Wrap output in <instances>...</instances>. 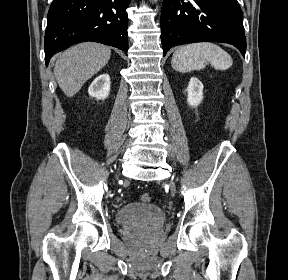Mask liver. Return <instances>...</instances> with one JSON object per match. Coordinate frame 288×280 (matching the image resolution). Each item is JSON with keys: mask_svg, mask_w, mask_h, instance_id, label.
<instances>
[{"mask_svg": "<svg viewBox=\"0 0 288 280\" xmlns=\"http://www.w3.org/2000/svg\"><path fill=\"white\" fill-rule=\"evenodd\" d=\"M110 56L111 49L99 43H81L65 50L54 67L59 87L72 97L108 63Z\"/></svg>", "mask_w": 288, "mask_h": 280, "instance_id": "6515ba94", "label": "liver"}]
</instances>
